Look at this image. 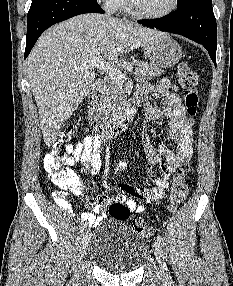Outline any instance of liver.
<instances>
[{"mask_svg": "<svg viewBox=\"0 0 233 286\" xmlns=\"http://www.w3.org/2000/svg\"><path fill=\"white\" fill-rule=\"evenodd\" d=\"M165 35L101 14L78 15L45 31L26 63L45 144L55 143L64 122L90 91L95 73L81 65L99 58L116 61Z\"/></svg>", "mask_w": 233, "mask_h": 286, "instance_id": "6515ba94", "label": "liver"}]
</instances>
